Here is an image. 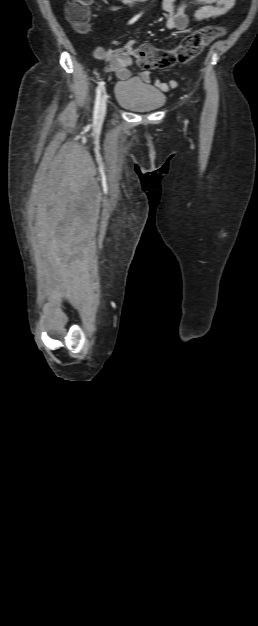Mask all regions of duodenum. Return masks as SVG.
<instances>
[{
  "label": "duodenum",
  "instance_id": "1",
  "mask_svg": "<svg viewBox=\"0 0 258 626\" xmlns=\"http://www.w3.org/2000/svg\"><path fill=\"white\" fill-rule=\"evenodd\" d=\"M122 1L125 2V3H132V2H135V1H145V0H122Z\"/></svg>",
  "mask_w": 258,
  "mask_h": 626
}]
</instances>
